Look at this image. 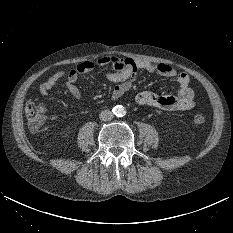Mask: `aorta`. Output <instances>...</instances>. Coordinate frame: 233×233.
Masks as SVG:
<instances>
[{"label":"aorta","instance_id":"aorta-1","mask_svg":"<svg viewBox=\"0 0 233 233\" xmlns=\"http://www.w3.org/2000/svg\"><path fill=\"white\" fill-rule=\"evenodd\" d=\"M125 113H126V111H125V108L123 106L119 105V106H116L114 108V114L116 116H123V115H125Z\"/></svg>","mask_w":233,"mask_h":233}]
</instances>
